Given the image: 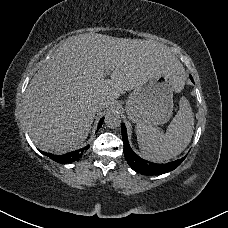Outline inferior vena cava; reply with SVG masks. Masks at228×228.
I'll list each match as a JSON object with an SVG mask.
<instances>
[{"instance_id":"obj_1","label":"inferior vena cava","mask_w":228,"mask_h":228,"mask_svg":"<svg viewBox=\"0 0 228 228\" xmlns=\"http://www.w3.org/2000/svg\"><path fill=\"white\" fill-rule=\"evenodd\" d=\"M94 103H95V108H96L97 110H101V109H102V104L100 103L99 100H98V101H95Z\"/></svg>"}]
</instances>
